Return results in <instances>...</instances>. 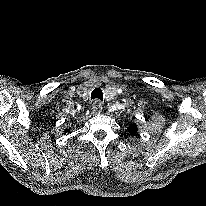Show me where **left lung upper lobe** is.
<instances>
[{
	"label": "left lung upper lobe",
	"mask_w": 206,
	"mask_h": 206,
	"mask_svg": "<svg viewBox=\"0 0 206 206\" xmlns=\"http://www.w3.org/2000/svg\"><path fill=\"white\" fill-rule=\"evenodd\" d=\"M128 131L131 135H135L138 131L137 129V125L136 124H131L129 127H128Z\"/></svg>",
	"instance_id": "1"
}]
</instances>
